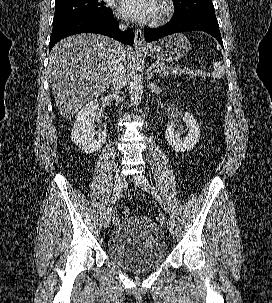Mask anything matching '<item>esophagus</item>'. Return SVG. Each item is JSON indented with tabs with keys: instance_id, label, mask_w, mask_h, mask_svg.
<instances>
[{
	"instance_id": "1",
	"label": "esophagus",
	"mask_w": 272,
	"mask_h": 303,
	"mask_svg": "<svg viewBox=\"0 0 272 303\" xmlns=\"http://www.w3.org/2000/svg\"><path fill=\"white\" fill-rule=\"evenodd\" d=\"M134 45L137 48L146 46L144 34H143V31L141 29H136L135 30Z\"/></svg>"
}]
</instances>
